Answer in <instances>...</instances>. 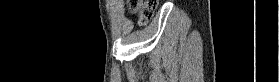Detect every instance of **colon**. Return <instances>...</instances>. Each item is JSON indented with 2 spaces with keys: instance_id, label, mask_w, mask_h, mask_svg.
<instances>
[{
  "instance_id": "5ec220e1",
  "label": "colon",
  "mask_w": 279,
  "mask_h": 82,
  "mask_svg": "<svg viewBox=\"0 0 279 82\" xmlns=\"http://www.w3.org/2000/svg\"><path fill=\"white\" fill-rule=\"evenodd\" d=\"M129 13L136 14L145 23L154 13L157 0H126Z\"/></svg>"
}]
</instances>
